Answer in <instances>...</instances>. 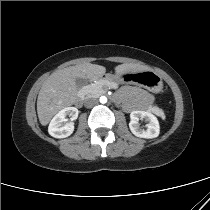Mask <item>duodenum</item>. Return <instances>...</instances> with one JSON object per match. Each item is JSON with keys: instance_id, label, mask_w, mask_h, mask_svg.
<instances>
[{"instance_id": "1", "label": "duodenum", "mask_w": 210, "mask_h": 210, "mask_svg": "<svg viewBox=\"0 0 210 210\" xmlns=\"http://www.w3.org/2000/svg\"><path fill=\"white\" fill-rule=\"evenodd\" d=\"M84 101V90H80L76 99L75 105L81 107Z\"/></svg>"}]
</instances>
